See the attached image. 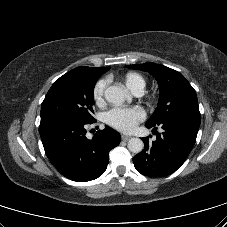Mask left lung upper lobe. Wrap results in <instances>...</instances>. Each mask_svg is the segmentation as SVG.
Masks as SVG:
<instances>
[{
    "instance_id": "obj_1",
    "label": "left lung upper lobe",
    "mask_w": 227,
    "mask_h": 227,
    "mask_svg": "<svg viewBox=\"0 0 227 227\" xmlns=\"http://www.w3.org/2000/svg\"><path fill=\"white\" fill-rule=\"evenodd\" d=\"M125 67L147 71L158 81L160 87L158 106L146 125L156 126L172 118H200L196 92L181 73L155 63Z\"/></svg>"
}]
</instances>
